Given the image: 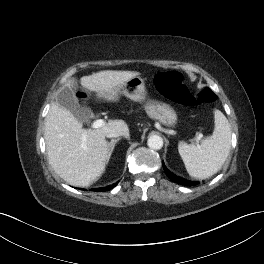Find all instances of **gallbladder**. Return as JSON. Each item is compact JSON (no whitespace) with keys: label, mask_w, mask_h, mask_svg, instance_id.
<instances>
[{"label":"gallbladder","mask_w":264,"mask_h":264,"mask_svg":"<svg viewBox=\"0 0 264 264\" xmlns=\"http://www.w3.org/2000/svg\"><path fill=\"white\" fill-rule=\"evenodd\" d=\"M56 102L64 109L73 113V115L80 121L86 122L92 117V111L86 106H80L74 94V91L64 86L62 87L56 97Z\"/></svg>","instance_id":"bac80fb5"}]
</instances>
